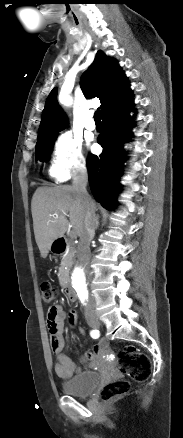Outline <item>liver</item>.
Instances as JSON below:
<instances>
[{
  "label": "liver",
  "mask_w": 183,
  "mask_h": 438,
  "mask_svg": "<svg viewBox=\"0 0 183 438\" xmlns=\"http://www.w3.org/2000/svg\"><path fill=\"white\" fill-rule=\"evenodd\" d=\"M89 204L95 210L91 198ZM31 211L35 240L42 258L47 257L53 242L64 236L69 224L78 236L84 229L86 206L72 186L38 188L32 197Z\"/></svg>",
  "instance_id": "1"
}]
</instances>
